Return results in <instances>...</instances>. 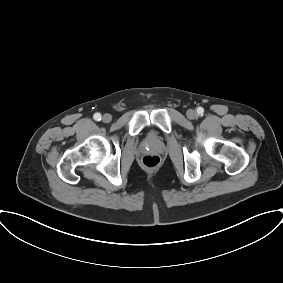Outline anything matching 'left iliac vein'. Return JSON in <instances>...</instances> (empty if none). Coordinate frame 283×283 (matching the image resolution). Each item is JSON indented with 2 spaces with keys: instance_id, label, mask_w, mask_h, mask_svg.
<instances>
[{
  "instance_id": "4c4485c4",
  "label": "left iliac vein",
  "mask_w": 283,
  "mask_h": 283,
  "mask_svg": "<svg viewBox=\"0 0 283 283\" xmlns=\"http://www.w3.org/2000/svg\"><path fill=\"white\" fill-rule=\"evenodd\" d=\"M186 115H187V117L189 118V119H195L196 118V112L193 110V109H189V110H187V112H186Z\"/></svg>"
}]
</instances>
